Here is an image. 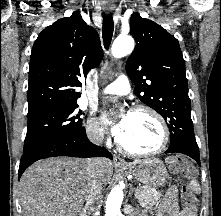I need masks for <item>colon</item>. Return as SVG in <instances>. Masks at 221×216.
I'll return each instance as SVG.
<instances>
[{
	"instance_id": "1",
	"label": "colon",
	"mask_w": 221,
	"mask_h": 216,
	"mask_svg": "<svg viewBox=\"0 0 221 216\" xmlns=\"http://www.w3.org/2000/svg\"><path fill=\"white\" fill-rule=\"evenodd\" d=\"M170 169L175 172L189 173L190 168L184 158L174 157L168 161ZM181 199L183 205V211L186 214L194 215L196 211V201L191 193L189 187L184 186L181 191Z\"/></svg>"
}]
</instances>
